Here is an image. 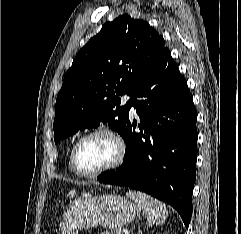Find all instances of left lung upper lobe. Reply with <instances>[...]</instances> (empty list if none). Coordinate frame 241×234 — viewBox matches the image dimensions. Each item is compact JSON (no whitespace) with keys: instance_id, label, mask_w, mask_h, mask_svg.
Listing matches in <instances>:
<instances>
[{"instance_id":"obj_1","label":"left lung upper lobe","mask_w":241,"mask_h":234,"mask_svg":"<svg viewBox=\"0 0 241 234\" xmlns=\"http://www.w3.org/2000/svg\"><path fill=\"white\" fill-rule=\"evenodd\" d=\"M165 48L163 37L143 20L124 14L104 24L65 75L55 105V143L101 123L124 139L133 94ZM124 94L130 100L120 106Z\"/></svg>"}]
</instances>
